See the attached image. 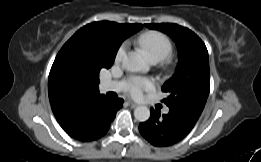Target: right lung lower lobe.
<instances>
[{
  "label": "right lung lower lobe",
  "instance_id": "98d812e1",
  "mask_svg": "<svg viewBox=\"0 0 261 162\" xmlns=\"http://www.w3.org/2000/svg\"><path fill=\"white\" fill-rule=\"evenodd\" d=\"M123 100H110L100 95L59 121L72 138L86 142L101 138L108 131Z\"/></svg>",
  "mask_w": 261,
  "mask_h": 162
}]
</instances>
